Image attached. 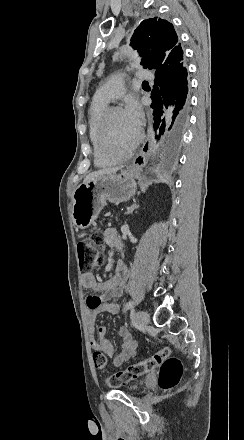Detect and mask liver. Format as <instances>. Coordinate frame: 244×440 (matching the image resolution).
Here are the masks:
<instances>
[{
    "mask_svg": "<svg viewBox=\"0 0 244 440\" xmlns=\"http://www.w3.org/2000/svg\"><path fill=\"white\" fill-rule=\"evenodd\" d=\"M118 170H121V168H103V170H98V172H92V174H88V176L84 178L83 184H87L91 178H103L106 174H116Z\"/></svg>",
    "mask_w": 244,
    "mask_h": 440,
    "instance_id": "obj_1",
    "label": "liver"
}]
</instances>
